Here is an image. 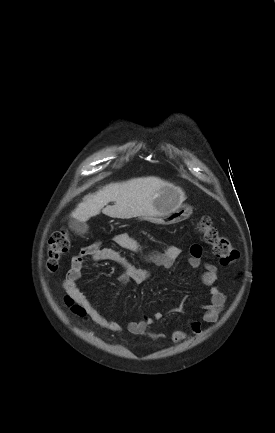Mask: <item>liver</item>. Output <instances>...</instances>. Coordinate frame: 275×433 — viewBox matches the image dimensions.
Here are the masks:
<instances>
[{"mask_svg":"<svg viewBox=\"0 0 275 433\" xmlns=\"http://www.w3.org/2000/svg\"><path fill=\"white\" fill-rule=\"evenodd\" d=\"M166 186L174 187L158 177L134 178L126 182L112 183L95 194L85 196L71 213V217L86 222L91 217L98 215L101 210L103 214L112 218L129 219L154 216L157 214L153 205L154 195ZM176 189L180 192L181 202H183L184 193L180 188ZM109 202H115V204L108 206Z\"/></svg>","mask_w":275,"mask_h":433,"instance_id":"obj_1","label":"liver"}]
</instances>
